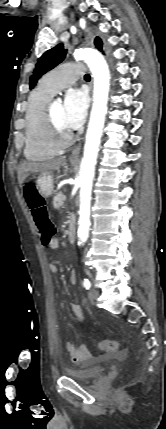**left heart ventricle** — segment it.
<instances>
[{
    "mask_svg": "<svg viewBox=\"0 0 166 429\" xmlns=\"http://www.w3.org/2000/svg\"><path fill=\"white\" fill-rule=\"evenodd\" d=\"M51 113L58 130L63 134L69 133L70 130L64 124L63 105L61 103H53Z\"/></svg>",
    "mask_w": 166,
    "mask_h": 429,
    "instance_id": "left-heart-ventricle-1",
    "label": "left heart ventricle"
}]
</instances>
